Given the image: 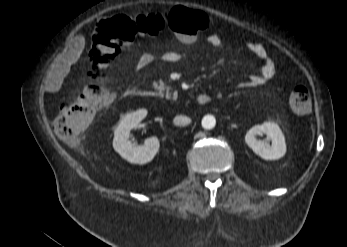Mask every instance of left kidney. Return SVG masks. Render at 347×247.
Returning a JSON list of instances; mask_svg holds the SVG:
<instances>
[{"mask_svg": "<svg viewBox=\"0 0 347 247\" xmlns=\"http://www.w3.org/2000/svg\"><path fill=\"white\" fill-rule=\"evenodd\" d=\"M267 136L266 140L257 139V136ZM271 140V145L268 141ZM246 144L261 158L265 160H277L286 153L285 137L274 122H264L255 125L245 135Z\"/></svg>", "mask_w": 347, "mask_h": 247, "instance_id": "left-kidney-1", "label": "left kidney"}]
</instances>
